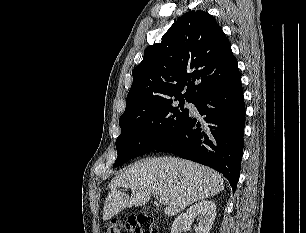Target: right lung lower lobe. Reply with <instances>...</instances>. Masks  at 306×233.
<instances>
[{
    "label": "right lung lower lobe",
    "mask_w": 306,
    "mask_h": 233,
    "mask_svg": "<svg viewBox=\"0 0 306 233\" xmlns=\"http://www.w3.org/2000/svg\"><path fill=\"white\" fill-rule=\"evenodd\" d=\"M195 106L202 121L188 116L182 125L155 150L171 152L221 172L237 187L243 153L245 104L238 72L212 89Z\"/></svg>",
    "instance_id": "right-lung-lower-lobe-1"
}]
</instances>
